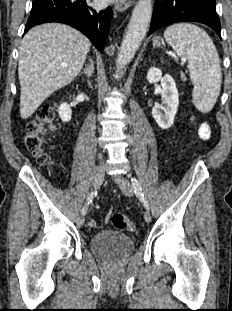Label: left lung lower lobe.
I'll use <instances>...</instances> for the list:
<instances>
[{
	"label": "left lung lower lobe",
	"mask_w": 232,
	"mask_h": 311,
	"mask_svg": "<svg viewBox=\"0 0 232 311\" xmlns=\"http://www.w3.org/2000/svg\"><path fill=\"white\" fill-rule=\"evenodd\" d=\"M190 21L208 25L221 37L215 0H155L149 35L166 25Z\"/></svg>",
	"instance_id": "obj_1"
}]
</instances>
